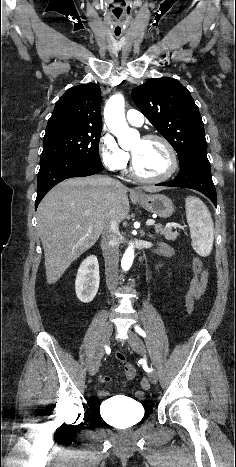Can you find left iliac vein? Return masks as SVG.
<instances>
[{
    "mask_svg": "<svg viewBox=\"0 0 236 467\" xmlns=\"http://www.w3.org/2000/svg\"><path fill=\"white\" fill-rule=\"evenodd\" d=\"M129 344L135 352L142 354L144 357L147 356L143 341L140 339V337L136 333L132 331L129 332ZM148 378L150 382L153 384H156L158 381V374L152 366H151V370L148 373Z\"/></svg>",
    "mask_w": 236,
    "mask_h": 467,
    "instance_id": "4c4485c4",
    "label": "left iliac vein"
}]
</instances>
